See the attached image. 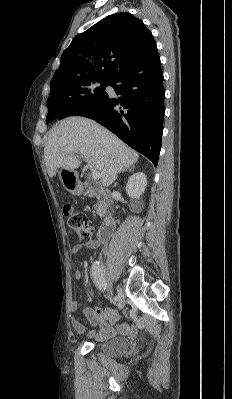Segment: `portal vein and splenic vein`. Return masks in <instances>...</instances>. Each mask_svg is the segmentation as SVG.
Instances as JSON below:
<instances>
[{
    "label": "portal vein and splenic vein",
    "instance_id": "obj_1",
    "mask_svg": "<svg viewBox=\"0 0 232 399\" xmlns=\"http://www.w3.org/2000/svg\"><path fill=\"white\" fill-rule=\"evenodd\" d=\"M64 152H66V154H70V152H74V154H80L78 150L71 148V146H65ZM92 178H94V180H100L99 172H97V170H92Z\"/></svg>",
    "mask_w": 232,
    "mask_h": 399
}]
</instances>
